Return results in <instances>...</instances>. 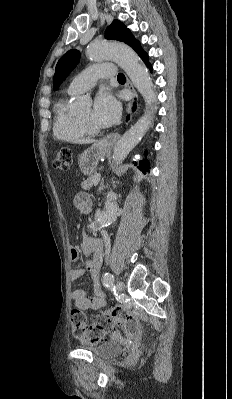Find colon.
Instances as JSON below:
<instances>
[{
  "label": "colon",
  "mask_w": 232,
  "mask_h": 399,
  "mask_svg": "<svg viewBox=\"0 0 232 399\" xmlns=\"http://www.w3.org/2000/svg\"><path fill=\"white\" fill-rule=\"evenodd\" d=\"M54 164L58 168H68V172H73V152L70 150L56 153ZM85 311L76 309L72 311L71 318V338H81V341L90 342L103 341L101 335H115V328L111 324H123V330H126V337H139L143 322L140 321L137 313H130V308H115V313H100L95 322H86L82 317ZM87 335V336H86ZM129 353H135L136 347L129 346Z\"/></svg>",
  "instance_id": "colon-1"
}]
</instances>
